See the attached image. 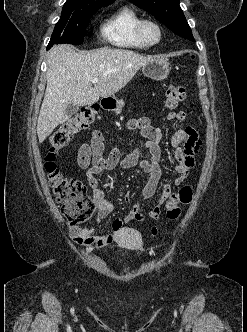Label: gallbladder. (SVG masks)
Instances as JSON below:
<instances>
[{
    "label": "gallbladder",
    "instance_id": "gallbladder-1",
    "mask_svg": "<svg viewBox=\"0 0 247 332\" xmlns=\"http://www.w3.org/2000/svg\"><path fill=\"white\" fill-rule=\"evenodd\" d=\"M78 110V107L77 106H74L72 104H69L66 108V114L71 116L73 115L74 113H76Z\"/></svg>",
    "mask_w": 247,
    "mask_h": 332
}]
</instances>
